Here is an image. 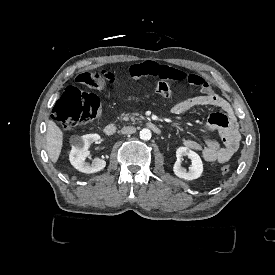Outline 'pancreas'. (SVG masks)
<instances>
[{"instance_id":"obj_1","label":"pancreas","mask_w":275,"mask_h":275,"mask_svg":"<svg viewBox=\"0 0 275 275\" xmlns=\"http://www.w3.org/2000/svg\"><path fill=\"white\" fill-rule=\"evenodd\" d=\"M136 116H139L140 118H142L138 113H132L131 115H126L125 113H123L120 117V119L122 120H128L130 119L132 122L136 121Z\"/></svg>"}]
</instances>
